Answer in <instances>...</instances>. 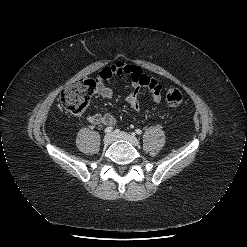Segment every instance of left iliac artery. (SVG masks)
Wrapping results in <instances>:
<instances>
[{"instance_id":"obj_1","label":"left iliac artery","mask_w":247,"mask_h":247,"mask_svg":"<svg viewBox=\"0 0 247 247\" xmlns=\"http://www.w3.org/2000/svg\"><path fill=\"white\" fill-rule=\"evenodd\" d=\"M135 132H136L137 134H139V135H141V134H142V131H141V130H139V129H137Z\"/></svg>"}]
</instances>
